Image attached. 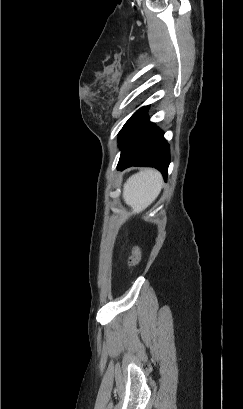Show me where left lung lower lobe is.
<instances>
[{"label": "left lung lower lobe", "instance_id": "left-lung-lower-lobe-1", "mask_svg": "<svg viewBox=\"0 0 243 409\" xmlns=\"http://www.w3.org/2000/svg\"><path fill=\"white\" fill-rule=\"evenodd\" d=\"M145 106L137 110L119 132L121 156L118 170L131 166L158 169L166 181L170 163L169 145L164 133L149 122Z\"/></svg>", "mask_w": 243, "mask_h": 409}]
</instances>
